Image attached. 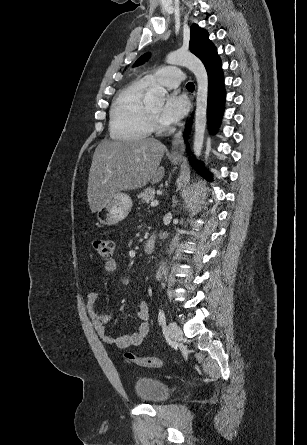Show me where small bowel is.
Masks as SVG:
<instances>
[{"instance_id": "obj_1", "label": "small bowel", "mask_w": 307, "mask_h": 445, "mask_svg": "<svg viewBox=\"0 0 307 445\" xmlns=\"http://www.w3.org/2000/svg\"><path fill=\"white\" fill-rule=\"evenodd\" d=\"M117 269L115 259H106L103 262V270L107 273H113ZM99 298L97 291H90L87 295V310L92 319L93 325L97 330L102 340L109 345L120 349H125L132 346L139 345L149 332V305L145 301L138 304L137 316L141 321L136 332L125 334L122 336H113L107 330V323L110 320L109 314H98L96 311V303Z\"/></svg>"}]
</instances>
